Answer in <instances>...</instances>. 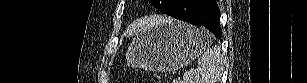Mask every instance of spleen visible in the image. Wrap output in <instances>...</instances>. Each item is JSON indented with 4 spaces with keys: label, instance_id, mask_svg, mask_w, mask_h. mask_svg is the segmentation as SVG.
Segmentation results:
<instances>
[{
    "label": "spleen",
    "instance_id": "3e777b00",
    "mask_svg": "<svg viewBox=\"0 0 307 83\" xmlns=\"http://www.w3.org/2000/svg\"><path fill=\"white\" fill-rule=\"evenodd\" d=\"M207 33L210 43H213L214 36ZM223 64L221 49L217 45L213 48L207 47L203 56L197 61L198 66L185 72L181 83H215L222 74Z\"/></svg>",
    "mask_w": 307,
    "mask_h": 83
}]
</instances>
